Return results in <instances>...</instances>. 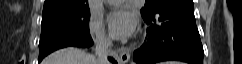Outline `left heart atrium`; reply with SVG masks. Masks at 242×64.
Instances as JSON below:
<instances>
[{"label":"left heart atrium","instance_id":"1","mask_svg":"<svg viewBox=\"0 0 242 64\" xmlns=\"http://www.w3.org/2000/svg\"><path fill=\"white\" fill-rule=\"evenodd\" d=\"M108 24L110 33L114 38H127L135 32L137 18L130 10L119 9L109 16Z\"/></svg>","mask_w":242,"mask_h":64}]
</instances>
